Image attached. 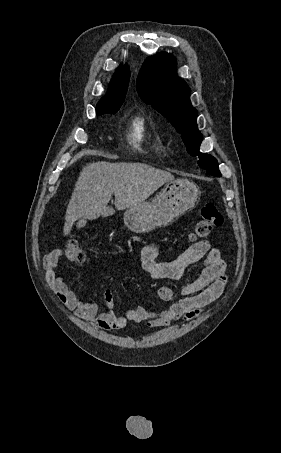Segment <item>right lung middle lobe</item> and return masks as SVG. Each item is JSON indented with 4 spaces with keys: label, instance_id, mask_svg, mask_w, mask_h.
Returning a JSON list of instances; mask_svg holds the SVG:
<instances>
[{
    "label": "right lung middle lobe",
    "instance_id": "dd1d6c3e",
    "mask_svg": "<svg viewBox=\"0 0 281 453\" xmlns=\"http://www.w3.org/2000/svg\"><path fill=\"white\" fill-rule=\"evenodd\" d=\"M116 112H117V111L111 112V114H114V113H116Z\"/></svg>",
    "mask_w": 281,
    "mask_h": 453
}]
</instances>
